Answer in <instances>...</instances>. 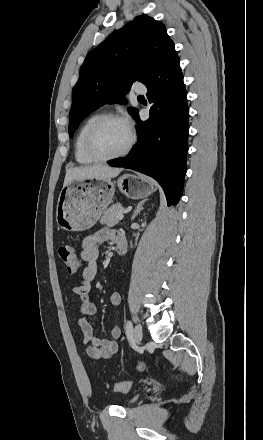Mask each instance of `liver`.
<instances>
[{"instance_id": "liver-1", "label": "liver", "mask_w": 263, "mask_h": 440, "mask_svg": "<svg viewBox=\"0 0 263 440\" xmlns=\"http://www.w3.org/2000/svg\"><path fill=\"white\" fill-rule=\"evenodd\" d=\"M122 171L121 168H113L106 164H96L70 168L66 171L64 185L66 186L73 180H106L115 178Z\"/></svg>"}]
</instances>
